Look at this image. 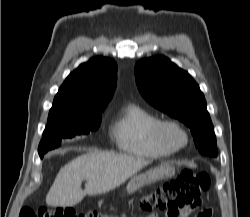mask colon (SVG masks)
<instances>
[{
    "instance_id": "obj_1",
    "label": "colon",
    "mask_w": 250,
    "mask_h": 217,
    "mask_svg": "<svg viewBox=\"0 0 250 217\" xmlns=\"http://www.w3.org/2000/svg\"><path fill=\"white\" fill-rule=\"evenodd\" d=\"M211 178L206 172L182 171L175 179L165 182L162 186L143 197L140 209L149 212L153 209L165 211L168 217H176L182 211L199 208L201 196L210 187ZM206 214L211 217L210 209H201L196 217ZM19 217H110L99 211L76 214L69 208H50L34 211L24 207Z\"/></svg>"
}]
</instances>
